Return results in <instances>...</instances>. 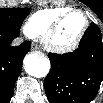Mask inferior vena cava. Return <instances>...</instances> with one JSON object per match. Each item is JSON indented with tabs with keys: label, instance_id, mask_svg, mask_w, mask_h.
Returning a JSON list of instances; mask_svg holds the SVG:
<instances>
[{
	"label": "inferior vena cava",
	"instance_id": "1",
	"mask_svg": "<svg viewBox=\"0 0 103 103\" xmlns=\"http://www.w3.org/2000/svg\"><path fill=\"white\" fill-rule=\"evenodd\" d=\"M21 43H22V38H17V39L14 40V42L12 44H13V46H17Z\"/></svg>",
	"mask_w": 103,
	"mask_h": 103
}]
</instances>
